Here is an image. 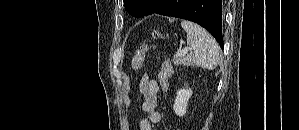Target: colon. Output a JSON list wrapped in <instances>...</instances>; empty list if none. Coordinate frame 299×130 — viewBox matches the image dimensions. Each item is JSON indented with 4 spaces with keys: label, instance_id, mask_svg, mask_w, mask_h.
<instances>
[{
    "label": "colon",
    "instance_id": "obj_1",
    "mask_svg": "<svg viewBox=\"0 0 299 130\" xmlns=\"http://www.w3.org/2000/svg\"><path fill=\"white\" fill-rule=\"evenodd\" d=\"M153 48L154 46L151 44H143L139 47V49L136 51L131 61V65L134 70H138L143 66L147 53ZM171 70H172L171 63L168 60L164 61L162 66V71L160 74L162 79V84L164 87H166L167 84L165 78L171 72Z\"/></svg>",
    "mask_w": 299,
    "mask_h": 130
}]
</instances>
